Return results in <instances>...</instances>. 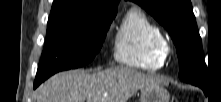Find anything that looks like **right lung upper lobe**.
<instances>
[{"label":"right lung upper lobe","instance_id":"cb5924a9","mask_svg":"<svg viewBox=\"0 0 221 102\" xmlns=\"http://www.w3.org/2000/svg\"><path fill=\"white\" fill-rule=\"evenodd\" d=\"M119 0H54L51 14L60 12H88L117 10Z\"/></svg>","mask_w":221,"mask_h":102}]
</instances>
